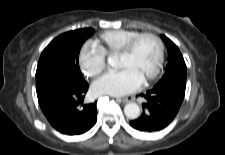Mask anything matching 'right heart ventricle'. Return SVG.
<instances>
[{
    "label": "right heart ventricle",
    "instance_id": "right-heart-ventricle-1",
    "mask_svg": "<svg viewBox=\"0 0 225 155\" xmlns=\"http://www.w3.org/2000/svg\"><path fill=\"white\" fill-rule=\"evenodd\" d=\"M140 32L136 30L117 29L102 33L93 40V46L104 56L118 54L125 44Z\"/></svg>",
    "mask_w": 225,
    "mask_h": 155
}]
</instances>
